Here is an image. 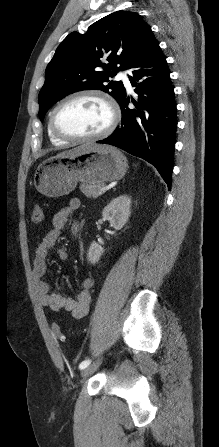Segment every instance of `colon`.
Masks as SVG:
<instances>
[{
  "instance_id": "1",
  "label": "colon",
  "mask_w": 219,
  "mask_h": 447,
  "mask_svg": "<svg viewBox=\"0 0 219 447\" xmlns=\"http://www.w3.org/2000/svg\"><path fill=\"white\" fill-rule=\"evenodd\" d=\"M32 221L35 224H39V223H41L43 221V212H42V209L38 205H35L33 207V210H32ZM52 332H53L54 336L58 340H63L64 335H63L61 327L58 324H54L53 325Z\"/></svg>"
}]
</instances>
